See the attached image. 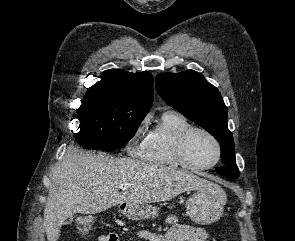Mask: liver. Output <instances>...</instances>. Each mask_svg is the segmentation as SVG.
<instances>
[{"label":"liver","instance_id":"6515ba94","mask_svg":"<svg viewBox=\"0 0 295 241\" xmlns=\"http://www.w3.org/2000/svg\"><path fill=\"white\" fill-rule=\"evenodd\" d=\"M206 183L172 166L70 147L51 175L44 208L47 240L57 241L65 219L76 213L95 214L122 203L167 201ZM121 184H128V188L119 192Z\"/></svg>","mask_w":295,"mask_h":241}]
</instances>
